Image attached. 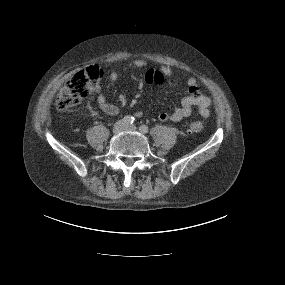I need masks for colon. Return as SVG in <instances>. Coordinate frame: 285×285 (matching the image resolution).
<instances>
[{
  "label": "colon",
  "mask_w": 285,
  "mask_h": 285,
  "mask_svg": "<svg viewBox=\"0 0 285 285\" xmlns=\"http://www.w3.org/2000/svg\"><path fill=\"white\" fill-rule=\"evenodd\" d=\"M101 77L102 71L96 65H90L78 71L58 93L55 99L56 108L66 110L80 104L83 99L98 90ZM201 130L200 122H191L187 126L188 133H198Z\"/></svg>",
  "instance_id": "colon-1"
}]
</instances>
